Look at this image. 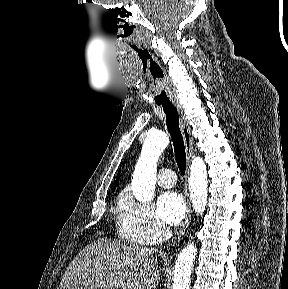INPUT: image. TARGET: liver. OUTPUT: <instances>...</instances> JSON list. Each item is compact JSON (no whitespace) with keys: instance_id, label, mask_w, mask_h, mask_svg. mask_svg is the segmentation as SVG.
Listing matches in <instances>:
<instances>
[{"instance_id":"liver-1","label":"liver","mask_w":288,"mask_h":289,"mask_svg":"<svg viewBox=\"0 0 288 289\" xmlns=\"http://www.w3.org/2000/svg\"><path fill=\"white\" fill-rule=\"evenodd\" d=\"M154 252L100 238L73 259L57 289H155L160 278Z\"/></svg>"}]
</instances>
